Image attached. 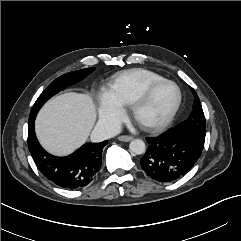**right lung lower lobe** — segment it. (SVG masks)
I'll return each mask as SVG.
<instances>
[{
  "instance_id": "1",
  "label": "right lung lower lobe",
  "mask_w": 241,
  "mask_h": 241,
  "mask_svg": "<svg viewBox=\"0 0 241 241\" xmlns=\"http://www.w3.org/2000/svg\"><path fill=\"white\" fill-rule=\"evenodd\" d=\"M35 117L28 122V147L39 171L62 188L77 189L89 184L101 166L102 150L108 141L88 143L69 156L56 157L40 146L34 132Z\"/></svg>"
}]
</instances>
